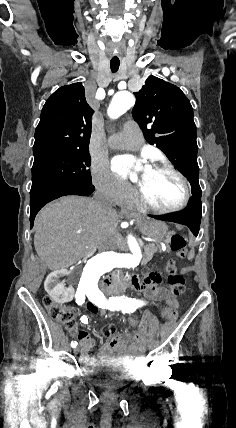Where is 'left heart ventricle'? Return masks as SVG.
<instances>
[{
	"instance_id": "1",
	"label": "left heart ventricle",
	"mask_w": 236,
	"mask_h": 428,
	"mask_svg": "<svg viewBox=\"0 0 236 428\" xmlns=\"http://www.w3.org/2000/svg\"><path fill=\"white\" fill-rule=\"evenodd\" d=\"M136 180L147 197L159 206L173 207L183 198L182 184L170 172L143 168L136 176Z\"/></svg>"
}]
</instances>
